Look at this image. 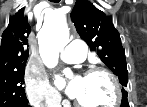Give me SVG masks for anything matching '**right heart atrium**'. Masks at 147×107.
<instances>
[{"label":"right heart atrium","instance_id":"right-heart-atrium-1","mask_svg":"<svg viewBox=\"0 0 147 107\" xmlns=\"http://www.w3.org/2000/svg\"><path fill=\"white\" fill-rule=\"evenodd\" d=\"M26 94L37 107H56L61 103L60 94L49 84L42 71L29 67L25 74Z\"/></svg>","mask_w":147,"mask_h":107}]
</instances>
